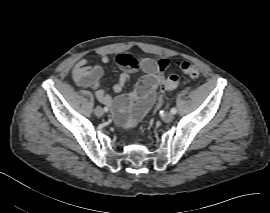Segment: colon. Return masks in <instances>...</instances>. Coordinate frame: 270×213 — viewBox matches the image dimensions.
<instances>
[{
	"instance_id": "colon-1",
	"label": "colon",
	"mask_w": 270,
	"mask_h": 213,
	"mask_svg": "<svg viewBox=\"0 0 270 213\" xmlns=\"http://www.w3.org/2000/svg\"><path fill=\"white\" fill-rule=\"evenodd\" d=\"M129 64L134 65V60L129 58ZM178 68L190 78H198L200 75L198 67L190 61H178ZM178 85V77L176 75L170 76L163 84L162 91H173Z\"/></svg>"
}]
</instances>
